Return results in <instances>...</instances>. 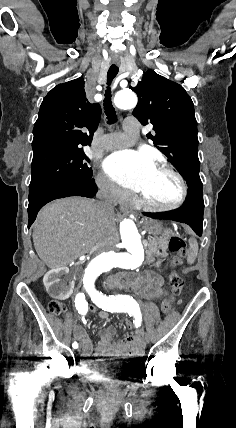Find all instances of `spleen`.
<instances>
[{
	"instance_id": "obj_1",
	"label": "spleen",
	"mask_w": 236,
	"mask_h": 428,
	"mask_svg": "<svg viewBox=\"0 0 236 428\" xmlns=\"http://www.w3.org/2000/svg\"><path fill=\"white\" fill-rule=\"evenodd\" d=\"M189 246H190V248H189V254H188L187 262H188V264H194V262L197 258V254H198L197 240H195V238H190Z\"/></svg>"
}]
</instances>
